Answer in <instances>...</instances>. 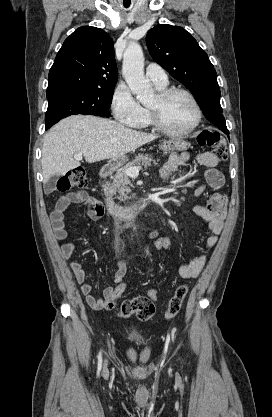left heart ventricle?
I'll return each instance as SVG.
<instances>
[{"label": "left heart ventricle", "mask_w": 272, "mask_h": 417, "mask_svg": "<svg viewBox=\"0 0 272 417\" xmlns=\"http://www.w3.org/2000/svg\"><path fill=\"white\" fill-rule=\"evenodd\" d=\"M150 108L157 109L163 124L173 131L188 129L196 117L191 101L182 94L174 95L165 102L157 96Z\"/></svg>", "instance_id": "1"}]
</instances>
